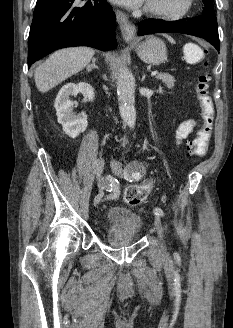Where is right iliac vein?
Returning a JSON list of instances; mask_svg holds the SVG:
<instances>
[{"label":"right iliac vein","mask_w":233,"mask_h":328,"mask_svg":"<svg viewBox=\"0 0 233 328\" xmlns=\"http://www.w3.org/2000/svg\"><path fill=\"white\" fill-rule=\"evenodd\" d=\"M95 174L99 188V194L94 198V205L96 206L101 201L103 196V189L106 187L105 181L102 178L103 168H104V160L102 157L97 158L95 161Z\"/></svg>","instance_id":"right-iliac-vein-1"}]
</instances>
